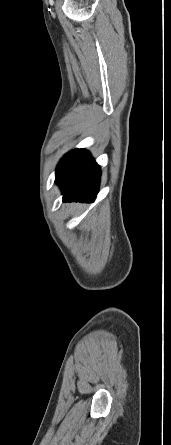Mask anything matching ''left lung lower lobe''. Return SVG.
Wrapping results in <instances>:
<instances>
[{
	"mask_svg": "<svg viewBox=\"0 0 171 445\" xmlns=\"http://www.w3.org/2000/svg\"><path fill=\"white\" fill-rule=\"evenodd\" d=\"M99 181L100 167L84 149L67 153L56 168V182L61 187L65 201H93Z\"/></svg>",
	"mask_w": 171,
	"mask_h": 445,
	"instance_id": "left-lung-lower-lobe-1",
	"label": "left lung lower lobe"
}]
</instances>
